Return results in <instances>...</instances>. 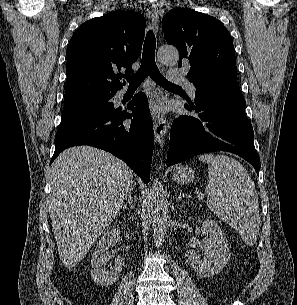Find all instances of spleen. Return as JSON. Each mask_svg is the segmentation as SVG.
<instances>
[{
    "instance_id": "3e777b00",
    "label": "spleen",
    "mask_w": 297,
    "mask_h": 305,
    "mask_svg": "<svg viewBox=\"0 0 297 305\" xmlns=\"http://www.w3.org/2000/svg\"><path fill=\"white\" fill-rule=\"evenodd\" d=\"M199 160L208 164V208L237 230L247 245H254L260 225L259 204L248 171L225 155L204 154Z\"/></svg>"
}]
</instances>
